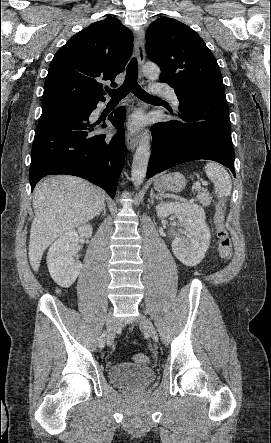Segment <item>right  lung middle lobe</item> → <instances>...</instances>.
I'll return each instance as SVG.
<instances>
[{"instance_id": "1", "label": "right lung middle lobe", "mask_w": 271, "mask_h": 443, "mask_svg": "<svg viewBox=\"0 0 271 443\" xmlns=\"http://www.w3.org/2000/svg\"><path fill=\"white\" fill-rule=\"evenodd\" d=\"M87 103H79V102H70V101H62V102H54V103H44L42 104V112L68 107V106H85Z\"/></svg>"}]
</instances>
